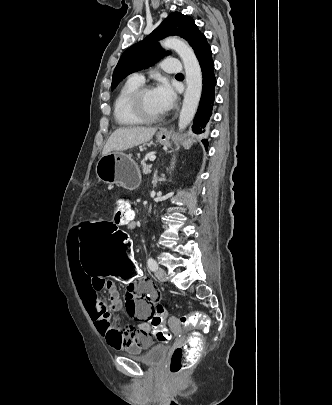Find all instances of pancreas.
I'll return each mask as SVG.
<instances>
[{
    "label": "pancreas",
    "mask_w": 332,
    "mask_h": 405,
    "mask_svg": "<svg viewBox=\"0 0 332 405\" xmlns=\"http://www.w3.org/2000/svg\"><path fill=\"white\" fill-rule=\"evenodd\" d=\"M151 167H152V165H147V164H145V163H142V172H143V175L149 174V173H150V170H151Z\"/></svg>",
    "instance_id": "cf45deb5"
}]
</instances>
